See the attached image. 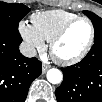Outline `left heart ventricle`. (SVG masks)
<instances>
[{"label": "left heart ventricle", "instance_id": "1", "mask_svg": "<svg viewBox=\"0 0 102 102\" xmlns=\"http://www.w3.org/2000/svg\"><path fill=\"white\" fill-rule=\"evenodd\" d=\"M90 30L85 22H78L67 32L55 48V54L63 59L77 56L85 47Z\"/></svg>", "mask_w": 102, "mask_h": 102}]
</instances>
